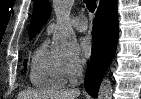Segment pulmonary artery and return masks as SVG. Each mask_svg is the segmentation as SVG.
<instances>
[{
	"label": "pulmonary artery",
	"mask_w": 141,
	"mask_h": 99,
	"mask_svg": "<svg viewBox=\"0 0 141 99\" xmlns=\"http://www.w3.org/2000/svg\"><path fill=\"white\" fill-rule=\"evenodd\" d=\"M70 22L72 26L79 31H85L88 28V21L86 17H84L83 15L72 17ZM54 28H55V24L51 23L48 26V32H52Z\"/></svg>",
	"instance_id": "1"
}]
</instances>
